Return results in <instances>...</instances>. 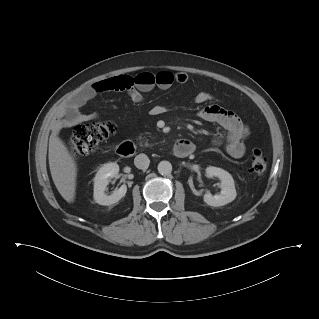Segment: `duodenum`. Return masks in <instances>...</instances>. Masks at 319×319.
Segmentation results:
<instances>
[{
    "instance_id": "1",
    "label": "duodenum",
    "mask_w": 319,
    "mask_h": 319,
    "mask_svg": "<svg viewBox=\"0 0 319 319\" xmlns=\"http://www.w3.org/2000/svg\"><path fill=\"white\" fill-rule=\"evenodd\" d=\"M134 151H135V145L134 143L130 141L122 142L117 147V153L118 155L122 157L130 156L134 153ZM193 151H194V145L188 139H181L177 141L173 147V154L179 158L187 157L190 154H192Z\"/></svg>"
}]
</instances>
